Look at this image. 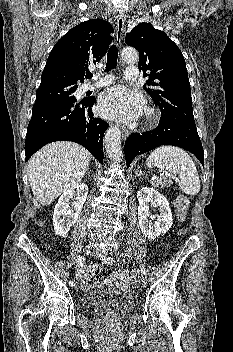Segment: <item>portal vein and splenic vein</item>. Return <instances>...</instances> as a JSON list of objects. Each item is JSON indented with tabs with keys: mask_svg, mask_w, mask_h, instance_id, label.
Listing matches in <instances>:
<instances>
[{
	"mask_svg": "<svg viewBox=\"0 0 233 352\" xmlns=\"http://www.w3.org/2000/svg\"><path fill=\"white\" fill-rule=\"evenodd\" d=\"M165 176H171L172 178H175V179H176V177H174L173 175H170V174H168V173H166Z\"/></svg>",
	"mask_w": 233,
	"mask_h": 352,
	"instance_id": "obj_1",
	"label": "portal vein and splenic vein"
}]
</instances>
